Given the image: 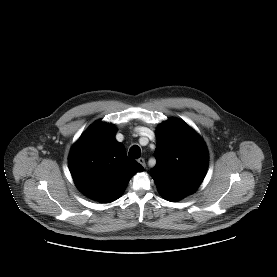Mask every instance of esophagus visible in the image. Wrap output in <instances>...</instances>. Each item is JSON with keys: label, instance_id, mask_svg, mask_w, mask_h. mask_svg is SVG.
Masks as SVG:
<instances>
[{"label": "esophagus", "instance_id": "1", "mask_svg": "<svg viewBox=\"0 0 277 277\" xmlns=\"http://www.w3.org/2000/svg\"><path fill=\"white\" fill-rule=\"evenodd\" d=\"M138 162H139L143 167L146 166L145 160H144L143 158H139V159H138Z\"/></svg>", "mask_w": 277, "mask_h": 277}]
</instances>
